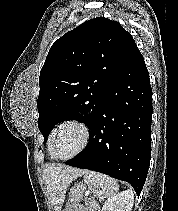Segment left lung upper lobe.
<instances>
[{
	"label": "left lung upper lobe",
	"instance_id": "5c2ea615",
	"mask_svg": "<svg viewBox=\"0 0 178 211\" xmlns=\"http://www.w3.org/2000/svg\"><path fill=\"white\" fill-rule=\"evenodd\" d=\"M137 49L117 22L94 18L54 42L40 72L38 126L47 141L55 124L76 119L91 130L106 93Z\"/></svg>",
	"mask_w": 178,
	"mask_h": 211
}]
</instances>
